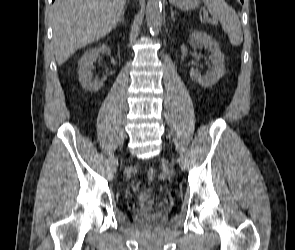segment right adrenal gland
<instances>
[{
  "label": "right adrenal gland",
  "mask_w": 295,
  "mask_h": 250,
  "mask_svg": "<svg viewBox=\"0 0 295 250\" xmlns=\"http://www.w3.org/2000/svg\"><path fill=\"white\" fill-rule=\"evenodd\" d=\"M117 23H124V14L121 15V17Z\"/></svg>",
  "instance_id": "obj_1"
}]
</instances>
